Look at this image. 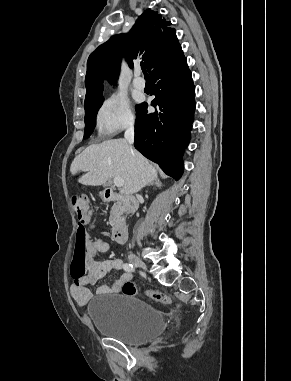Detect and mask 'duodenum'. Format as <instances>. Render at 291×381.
Returning <instances> with one entry per match:
<instances>
[{
	"label": "duodenum",
	"instance_id": "obj_1",
	"mask_svg": "<svg viewBox=\"0 0 291 381\" xmlns=\"http://www.w3.org/2000/svg\"><path fill=\"white\" fill-rule=\"evenodd\" d=\"M104 197L108 202H117L123 210L134 211L137 201L133 197L121 195L111 189L104 190ZM128 236V226L123 221H118L113 228V237L117 243H125Z\"/></svg>",
	"mask_w": 291,
	"mask_h": 381
}]
</instances>
